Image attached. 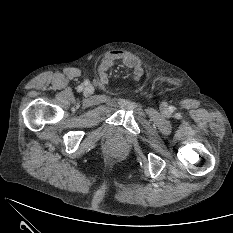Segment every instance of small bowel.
Masks as SVG:
<instances>
[{"label": "small bowel", "mask_w": 233, "mask_h": 233, "mask_svg": "<svg viewBox=\"0 0 233 233\" xmlns=\"http://www.w3.org/2000/svg\"><path fill=\"white\" fill-rule=\"evenodd\" d=\"M117 61H121L126 67L132 69L136 80L142 77L143 68L139 59L126 50H113L107 53L99 65V70L101 72H107Z\"/></svg>", "instance_id": "c3829d8e"}]
</instances>
